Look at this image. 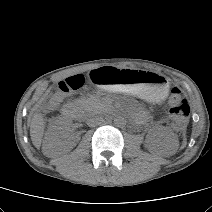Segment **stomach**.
Listing matches in <instances>:
<instances>
[{
  "mask_svg": "<svg viewBox=\"0 0 212 212\" xmlns=\"http://www.w3.org/2000/svg\"><path fill=\"white\" fill-rule=\"evenodd\" d=\"M89 79L98 86L107 85L153 102H160L168 93L167 79L151 72L100 66L90 72Z\"/></svg>",
  "mask_w": 212,
  "mask_h": 212,
  "instance_id": "stomach-1",
  "label": "stomach"
}]
</instances>
